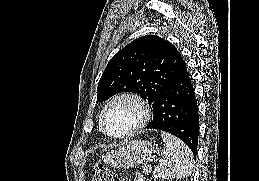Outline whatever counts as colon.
I'll use <instances>...</instances> for the list:
<instances>
[{"label": "colon", "instance_id": "colon-1", "mask_svg": "<svg viewBox=\"0 0 259 181\" xmlns=\"http://www.w3.org/2000/svg\"><path fill=\"white\" fill-rule=\"evenodd\" d=\"M92 181H114V174L104 165L95 167L92 171ZM118 181H126L121 177Z\"/></svg>", "mask_w": 259, "mask_h": 181}]
</instances>
